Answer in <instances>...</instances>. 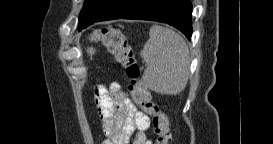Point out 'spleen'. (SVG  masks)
Masks as SVG:
<instances>
[{
    "mask_svg": "<svg viewBox=\"0 0 273 144\" xmlns=\"http://www.w3.org/2000/svg\"><path fill=\"white\" fill-rule=\"evenodd\" d=\"M140 55L147 65L143 82L149 89L164 95H177L185 89L190 57L187 44L178 33L153 25Z\"/></svg>",
    "mask_w": 273,
    "mask_h": 144,
    "instance_id": "3e777b00",
    "label": "spleen"
}]
</instances>
